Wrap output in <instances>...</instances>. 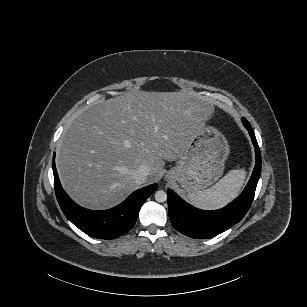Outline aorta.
Wrapping results in <instances>:
<instances>
[{"label": "aorta", "mask_w": 307, "mask_h": 307, "mask_svg": "<svg viewBox=\"0 0 307 307\" xmlns=\"http://www.w3.org/2000/svg\"><path fill=\"white\" fill-rule=\"evenodd\" d=\"M155 200L157 202H165L167 200V194L163 190H159L155 193Z\"/></svg>", "instance_id": "aorta-1"}]
</instances>
